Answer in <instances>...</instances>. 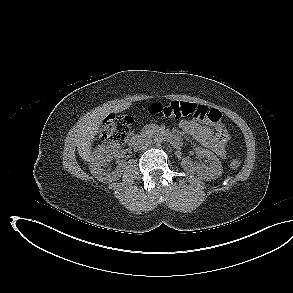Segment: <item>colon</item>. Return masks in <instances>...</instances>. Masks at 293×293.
<instances>
[{"label": "colon", "mask_w": 293, "mask_h": 293, "mask_svg": "<svg viewBox=\"0 0 293 293\" xmlns=\"http://www.w3.org/2000/svg\"><path fill=\"white\" fill-rule=\"evenodd\" d=\"M148 110L151 114H158L172 119L192 117L210 122L216 126V137L221 145L224 146L230 139L227 129L221 123L222 115L217 109H208L202 105L185 101H172L168 105L154 103L149 106ZM133 132V120L129 116L110 115L104 120L100 129L102 138L119 144L127 142ZM240 164L239 159H233L230 162V168L235 170Z\"/></svg>", "instance_id": "1"}]
</instances>
